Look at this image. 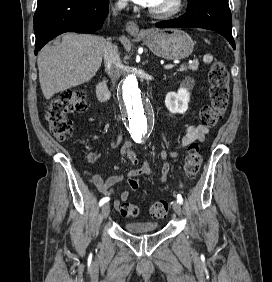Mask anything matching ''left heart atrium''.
<instances>
[{
	"label": "left heart atrium",
	"mask_w": 272,
	"mask_h": 282,
	"mask_svg": "<svg viewBox=\"0 0 272 282\" xmlns=\"http://www.w3.org/2000/svg\"><path fill=\"white\" fill-rule=\"evenodd\" d=\"M137 4H140L144 7H150L153 0H134Z\"/></svg>",
	"instance_id": "39dd6f15"
}]
</instances>
